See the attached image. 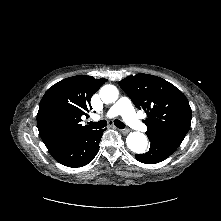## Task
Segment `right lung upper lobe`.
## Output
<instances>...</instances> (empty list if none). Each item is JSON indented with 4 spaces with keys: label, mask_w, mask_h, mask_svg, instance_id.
Wrapping results in <instances>:
<instances>
[{
    "label": "right lung upper lobe",
    "mask_w": 221,
    "mask_h": 221,
    "mask_svg": "<svg viewBox=\"0 0 221 221\" xmlns=\"http://www.w3.org/2000/svg\"><path fill=\"white\" fill-rule=\"evenodd\" d=\"M106 81L78 75L61 80L46 91L39 104L37 127L49 152L91 130L80 124L81 117L88 116L92 95Z\"/></svg>",
    "instance_id": "right-lung-upper-lobe-1"
}]
</instances>
